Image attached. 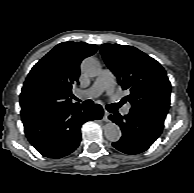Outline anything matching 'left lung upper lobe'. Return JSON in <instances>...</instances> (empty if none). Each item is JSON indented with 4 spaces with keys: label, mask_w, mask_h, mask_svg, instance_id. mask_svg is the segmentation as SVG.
<instances>
[{
    "label": "left lung upper lobe",
    "mask_w": 194,
    "mask_h": 193,
    "mask_svg": "<svg viewBox=\"0 0 194 193\" xmlns=\"http://www.w3.org/2000/svg\"><path fill=\"white\" fill-rule=\"evenodd\" d=\"M102 57L129 95L124 98L136 111L165 118L170 107L171 84L155 59L132 46L101 45Z\"/></svg>",
    "instance_id": "left-lung-upper-lobe-1"
}]
</instances>
